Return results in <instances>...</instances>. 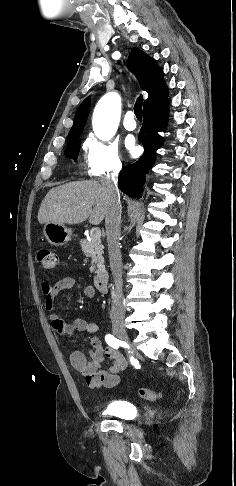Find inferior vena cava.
Returning a JSON list of instances; mask_svg holds the SVG:
<instances>
[{"instance_id": "obj_1", "label": "inferior vena cava", "mask_w": 236, "mask_h": 486, "mask_svg": "<svg viewBox=\"0 0 236 486\" xmlns=\"http://www.w3.org/2000/svg\"><path fill=\"white\" fill-rule=\"evenodd\" d=\"M122 164H116L111 173L101 179V184L108 195V209L105 216V228L107 236L108 255L111 272L116 286V304L112 306L111 314L123 313V281H122V258L119 246L121 210L120 193L117 187L118 174Z\"/></svg>"}]
</instances>
